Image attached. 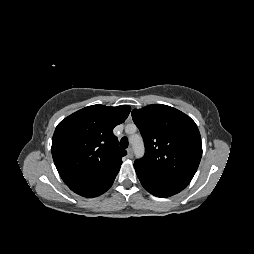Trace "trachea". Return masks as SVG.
<instances>
[{"instance_id":"obj_1","label":"trachea","mask_w":254,"mask_h":254,"mask_svg":"<svg viewBox=\"0 0 254 254\" xmlns=\"http://www.w3.org/2000/svg\"><path fill=\"white\" fill-rule=\"evenodd\" d=\"M120 146L122 148H127L128 147V139L126 137H123L121 140H120Z\"/></svg>"}]
</instances>
